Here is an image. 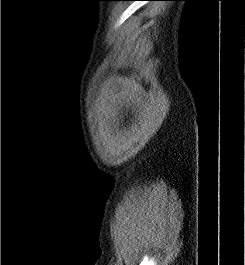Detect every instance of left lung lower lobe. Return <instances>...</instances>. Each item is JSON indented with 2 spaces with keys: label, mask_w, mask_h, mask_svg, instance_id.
<instances>
[{
  "label": "left lung lower lobe",
  "mask_w": 245,
  "mask_h": 265,
  "mask_svg": "<svg viewBox=\"0 0 245 265\" xmlns=\"http://www.w3.org/2000/svg\"><path fill=\"white\" fill-rule=\"evenodd\" d=\"M123 1H135V0H123Z\"/></svg>",
  "instance_id": "0a47b994"
}]
</instances>
